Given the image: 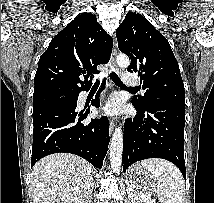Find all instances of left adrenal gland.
Returning <instances> with one entry per match:
<instances>
[{"label":"left adrenal gland","mask_w":214,"mask_h":203,"mask_svg":"<svg viewBox=\"0 0 214 203\" xmlns=\"http://www.w3.org/2000/svg\"><path fill=\"white\" fill-rule=\"evenodd\" d=\"M128 197H129V200H131V193L129 191H128Z\"/></svg>","instance_id":"left-adrenal-gland-1"}]
</instances>
